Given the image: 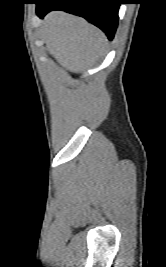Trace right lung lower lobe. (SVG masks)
<instances>
[{"label": "right lung lower lobe", "mask_w": 166, "mask_h": 267, "mask_svg": "<svg viewBox=\"0 0 166 267\" xmlns=\"http://www.w3.org/2000/svg\"><path fill=\"white\" fill-rule=\"evenodd\" d=\"M120 3V0H39L36 2V13L43 18L52 10H64L82 16L112 40L118 24Z\"/></svg>", "instance_id": "right-lung-lower-lobe-1"}]
</instances>
